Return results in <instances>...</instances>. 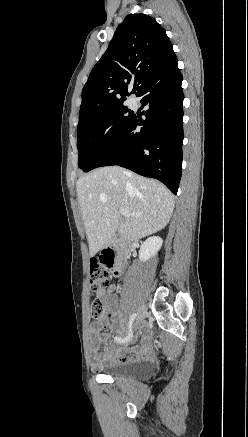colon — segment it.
Instances as JSON below:
<instances>
[{
    "label": "colon",
    "instance_id": "colon-1",
    "mask_svg": "<svg viewBox=\"0 0 248 437\" xmlns=\"http://www.w3.org/2000/svg\"><path fill=\"white\" fill-rule=\"evenodd\" d=\"M112 267L113 264L107 257L99 256L90 261V285L95 293H98L107 285ZM90 309L96 323L104 321L105 308L98 296L93 299Z\"/></svg>",
    "mask_w": 248,
    "mask_h": 437
}]
</instances>
